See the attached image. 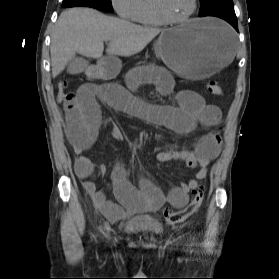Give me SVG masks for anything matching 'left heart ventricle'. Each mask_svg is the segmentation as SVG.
I'll list each match as a JSON object with an SVG mask.
<instances>
[{
  "instance_id": "obj_1",
  "label": "left heart ventricle",
  "mask_w": 279,
  "mask_h": 279,
  "mask_svg": "<svg viewBox=\"0 0 279 279\" xmlns=\"http://www.w3.org/2000/svg\"><path fill=\"white\" fill-rule=\"evenodd\" d=\"M192 4V0H164L165 9L173 18H180L186 15Z\"/></svg>"
}]
</instances>
